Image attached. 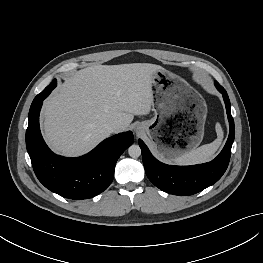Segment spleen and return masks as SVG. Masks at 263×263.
I'll use <instances>...</instances> for the list:
<instances>
[{"instance_id": "spleen-1", "label": "spleen", "mask_w": 263, "mask_h": 263, "mask_svg": "<svg viewBox=\"0 0 263 263\" xmlns=\"http://www.w3.org/2000/svg\"><path fill=\"white\" fill-rule=\"evenodd\" d=\"M217 139L209 144L200 146L188 153L176 157L173 161L178 165H194L210 161L223 140V130L219 123L216 124Z\"/></svg>"}]
</instances>
